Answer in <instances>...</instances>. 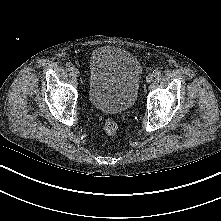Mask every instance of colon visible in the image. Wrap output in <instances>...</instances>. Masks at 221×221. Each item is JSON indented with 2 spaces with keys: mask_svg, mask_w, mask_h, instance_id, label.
Instances as JSON below:
<instances>
[{
  "mask_svg": "<svg viewBox=\"0 0 221 221\" xmlns=\"http://www.w3.org/2000/svg\"><path fill=\"white\" fill-rule=\"evenodd\" d=\"M103 130L107 136H114L118 131V124L109 118L105 121Z\"/></svg>",
  "mask_w": 221,
  "mask_h": 221,
  "instance_id": "obj_1",
  "label": "colon"
}]
</instances>
